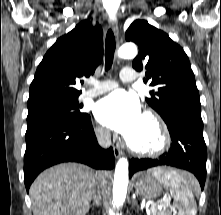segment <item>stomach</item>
Wrapping results in <instances>:
<instances>
[{"label":"stomach","instance_id":"0dacf381","mask_svg":"<svg viewBox=\"0 0 221 215\" xmlns=\"http://www.w3.org/2000/svg\"><path fill=\"white\" fill-rule=\"evenodd\" d=\"M164 173L163 169L155 168L148 170L147 172L138 173L135 176V189L145 198L152 199L159 196L164 184L158 177V173Z\"/></svg>","mask_w":221,"mask_h":215}]
</instances>
